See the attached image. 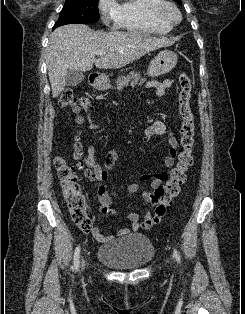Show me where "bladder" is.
Wrapping results in <instances>:
<instances>
[{
  "mask_svg": "<svg viewBox=\"0 0 245 314\" xmlns=\"http://www.w3.org/2000/svg\"><path fill=\"white\" fill-rule=\"evenodd\" d=\"M154 257V246L149 237L131 234L125 238L102 245L97 259L116 269L131 270L148 264Z\"/></svg>",
  "mask_w": 245,
  "mask_h": 314,
  "instance_id": "obj_1",
  "label": "bladder"
}]
</instances>
